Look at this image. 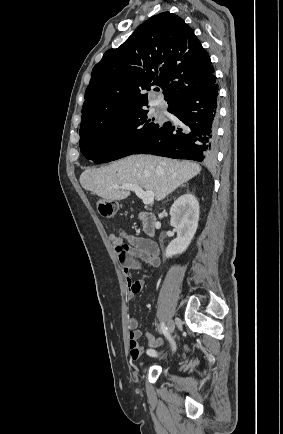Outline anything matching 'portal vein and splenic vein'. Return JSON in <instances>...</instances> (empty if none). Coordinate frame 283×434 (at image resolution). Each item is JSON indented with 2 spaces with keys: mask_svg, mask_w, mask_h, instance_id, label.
<instances>
[{
  "mask_svg": "<svg viewBox=\"0 0 283 434\" xmlns=\"http://www.w3.org/2000/svg\"><path fill=\"white\" fill-rule=\"evenodd\" d=\"M116 188L123 190H131L134 191L135 194L142 199L143 203L146 205L152 204L154 202V192L147 191L145 192L139 185L135 184H124L122 186H115Z\"/></svg>",
  "mask_w": 283,
  "mask_h": 434,
  "instance_id": "portal-vein-and-splenic-vein-1",
  "label": "portal vein and splenic vein"
}]
</instances>
